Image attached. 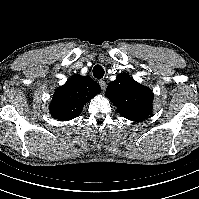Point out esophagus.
I'll return each instance as SVG.
<instances>
[{"mask_svg":"<svg viewBox=\"0 0 199 199\" xmlns=\"http://www.w3.org/2000/svg\"><path fill=\"white\" fill-rule=\"evenodd\" d=\"M99 85L103 91L106 90L107 83L104 80H99Z\"/></svg>","mask_w":199,"mask_h":199,"instance_id":"34e87169","label":"esophagus"}]
</instances>
